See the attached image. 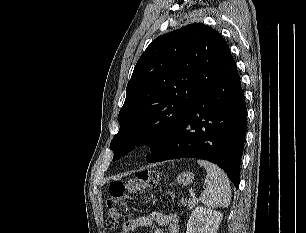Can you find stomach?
Wrapping results in <instances>:
<instances>
[{
    "mask_svg": "<svg viewBox=\"0 0 306 233\" xmlns=\"http://www.w3.org/2000/svg\"><path fill=\"white\" fill-rule=\"evenodd\" d=\"M194 180V174L191 172H182L176 178L177 183L182 185L190 184Z\"/></svg>",
    "mask_w": 306,
    "mask_h": 233,
    "instance_id": "stomach-1",
    "label": "stomach"
}]
</instances>
